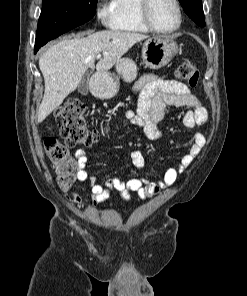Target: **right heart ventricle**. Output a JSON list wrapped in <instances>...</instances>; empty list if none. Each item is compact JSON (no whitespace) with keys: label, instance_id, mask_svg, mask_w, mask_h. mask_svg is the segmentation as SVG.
<instances>
[{"label":"right heart ventricle","instance_id":"right-heart-ventricle-1","mask_svg":"<svg viewBox=\"0 0 247 296\" xmlns=\"http://www.w3.org/2000/svg\"><path fill=\"white\" fill-rule=\"evenodd\" d=\"M110 6L112 18L109 25L113 30L131 33L150 31L140 17V0H111Z\"/></svg>","mask_w":247,"mask_h":296}]
</instances>
